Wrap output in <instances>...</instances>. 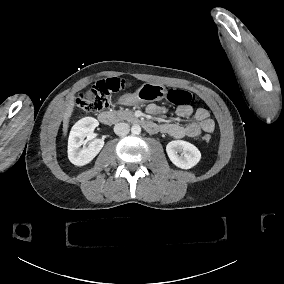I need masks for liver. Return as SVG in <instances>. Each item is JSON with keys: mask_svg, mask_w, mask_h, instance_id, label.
<instances>
[{"mask_svg": "<svg viewBox=\"0 0 284 284\" xmlns=\"http://www.w3.org/2000/svg\"><path fill=\"white\" fill-rule=\"evenodd\" d=\"M76 106V95L72 94L66 102V112L63 116V137L66 138L69 130L70 119Z\"/></svg>", "mask_w": 284, "mask_h": 284, "instance_id": "6515ba94", "label": "liver"}]
</instances>
